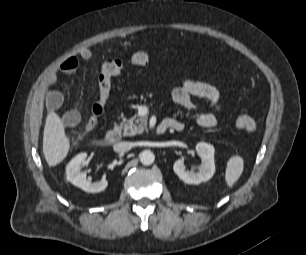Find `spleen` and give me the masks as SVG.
I'll return each instance as SVG.
<instances>
[{"label":"spleen","mask_w":306,"mask_h":255,"mask_svg":"<svg viewBox=\"0 0 306 255\" xmlns=\"http://www.w3.org/2000/svg\"><path fill=\"white\" fill-rule=\"evenodd\" d=\"M243 159L240 156L231 157L226 166L225 181L229 187L238 180L243 171Z\"/></svg>","instance_id":"3e777b00"}]
</instances>
